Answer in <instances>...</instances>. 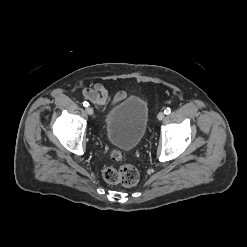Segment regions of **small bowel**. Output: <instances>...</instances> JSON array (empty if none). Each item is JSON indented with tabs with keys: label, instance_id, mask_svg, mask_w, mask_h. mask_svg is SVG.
<instances>
[{
	"label": "small bowel",
	"instance_id": "c3829d8e",
	"mask_svg": "<svg viewBox=\"0 0 247 247\" xmlns=\"http://www.w3.org/2000/svg\"><path fill=\"white\" fill-rule=\"evenodd\" d=\"M83 96L100 109L113 106L126 97V92L119 91L110 98L109 91L102 84L96 83L83 90Z\"/></svg>",
	"mask_w": 247,
	"mask_h": 247
}]
</instances>
